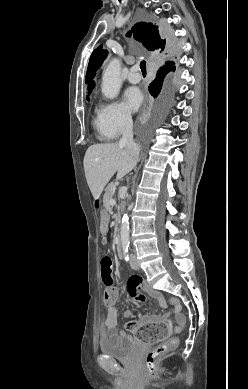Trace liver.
Wrapping results in <instances>:
<instances>
[{"instance_id": "1", "label": "liver", "mask_w": 248, "mask_h": 389, "mask_svg": "<svg viewBox=\"0 0 248 389\" xmlns=\"http://www.w3.org/2000/svg\"><path fill=\"white\" fill-rule=\"evenodd\" d=\"M84 171L94 198H99L104 187L117 172L122 179L135 166L129 151L117 143L91 145L84 156Z\"/></svg>"}]
</instances>
